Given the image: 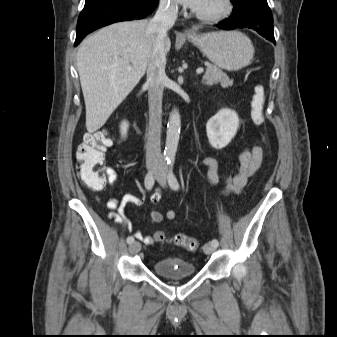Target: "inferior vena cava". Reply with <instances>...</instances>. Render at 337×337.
Listing matches in <instances>:
<instances>
[{
  "mask_svg": "<svg viewBox=\"0 0 337 337\" xmlns=\"http://www.w3.org/2000/svg\"><path fill=\"white\" fill-rule=\"evenodd\" d=\"M178 6L160 0L159 8L148 24V30L157 34L154 48L147 68V87L149 104V128L146 144V161L158 163L161 154L162 98L166 79L165 39L167 31L177 18Z\"/></svg>",
  "mask_w": 337,
  "mask_h": 337,
  "instance_id": "602c4592",
  "label": "inferior vena cava"
}]
</instances>
